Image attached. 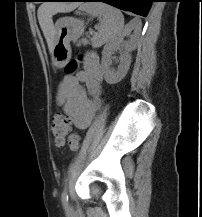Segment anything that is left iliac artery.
I'll list each match as a JSON object with an SVG mask.
<instances>
[{
  "label": "left iliac artery",
  "mask_w": 202,
  "mask_h": 217,
  "mask_svg": "<svg viewBox=\"0 0 202 217\" xmlns=\"http://www.w3.org/2000/svg\"><path fill=\"white\" fill-rule=\"evenodd\" d=\"M62 204L65 208H68V192L67 187L64 188L61 196Z\"/></svg>",
  "instance_id": "obj_1"
}]
</instances>
